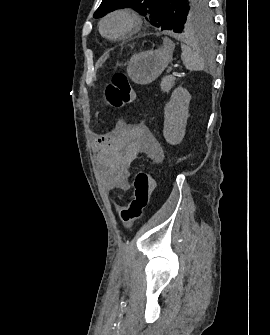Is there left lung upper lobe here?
Here are the masks:
<instances>
[{
	"label": "left lung upper lobe",
	"instance_id": "1",
	"mask_svg": "<svg viewBox=\"0 0 270 335\" xmlns=\"http://www.w3.org/2000/svg\"><path fill=\"white\" fill-rule=\"evenodd\" d=\"M209 0H103L94 13L100 18L120 8H132L141 15L149 16L161 30L190 34L209 31L213 26Z\"/></svg>",
	"mask_w": 270,
	"mask_h": 335
}]
</instances>
